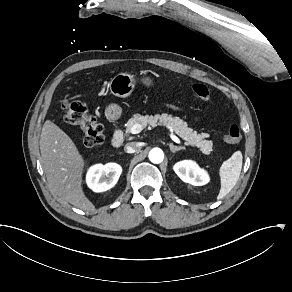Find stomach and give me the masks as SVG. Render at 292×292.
<instances>
[{"label": "stomach", "mask_w": 292, "mask_h": 292, "mask_svg": "<svg viewBox=\"0 0 292 292\" xmlns=\"http://www.w3.org/2000/svg\"><path fill=\"white\" fill-rule=\"evenodd\" d=\"M136 84H141L146 88H153L155 82L153 77L148 75L137 76L127 72H120L111 78L109 82V90L112 95L120 98L129 97ZM122 115V107L118 103H109L105 108V117L108 121L116 122Z\"/></svg>", "instance_id": "stomach-1"}]
</instances>
